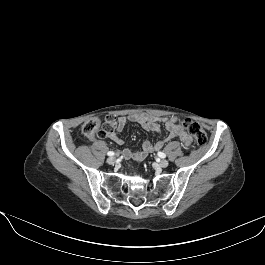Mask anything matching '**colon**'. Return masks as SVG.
<instances>
[{
  "instance_id": "5ec220e1",
  "label": "colon",
  "mask_w": 265,
  "mask_h": 265,
  "mask_svg": "<svg viewBox=\"0 0 265 265\" xmlns=\"http://www.w3.org/2000/svg\"><path fill=\"white\" fill-rule=\"evenodd\" d=\"M179 125L187 130L198 145L206 144L207 134L197 122L189 118H183L179 120ZM112 128L113 121L110 118H106L103 121L99 119H92L83 125L82 132L89 138H102L106 136Z\"/></svg>"
}]
</instances>
